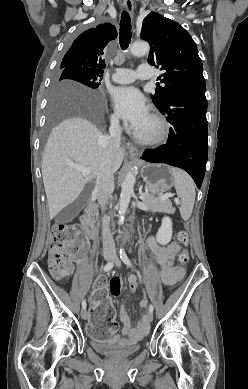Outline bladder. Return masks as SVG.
I'll use <instances>...</instances> for the list:
<instances>
[{
    "mask_svg": "<svg viewBox=\"0 0 248 389\" xmlns=\"http://www.w3.org/2000/svg\"><path fill=\"white\" fill-rule=\"evenodd\" d=\"M91 346L96 352L115 359L129 357L140 350V345H130L119 339L103 342L92 337Z\"/></svg>",
    "mask_w": 248,
    "mask_h": 389,
    "instance_id": "obj_1",
    "label": "bladder"
}]
</instances>
